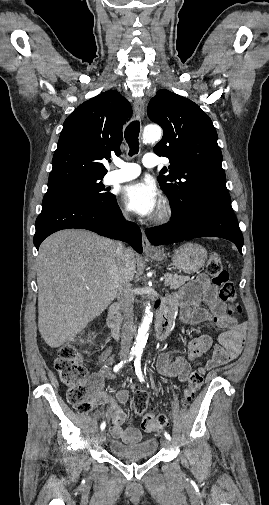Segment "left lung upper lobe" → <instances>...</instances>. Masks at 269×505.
<instances>
[{
	"mask_svg": "<svg viewBox=\"0 0 269 505\" xmlns=\"http://www.w3.org/2000/svg\"><path fill=\"white\" fill-rule=\"evenodd\" d=\"M148 116L164 131L154 147L170 159L168 176L158 182L170 200L172 214L179 219L194 212L198 198L230 200L217 132L209 116L191 100L168 90H159L148 105Z\"/></svg>",
	"mask_w": 269,
	"mask_h": 505,
	"instance_id": "5c2ea615",
	"label": "left lung upper lobe"
}]
</instances>
